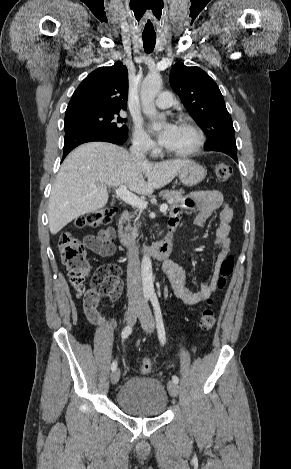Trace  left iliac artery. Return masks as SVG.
I'll list each match as a JSON object with an SVG mask.
<instances>
[{
    "label": "left iliac artery",
    "instance_id": "obj_1",
    "mask_svg": "<svg viewBox=\"0 0 291 469\" xmlns=\"http://www.w3.org/2000/svg\"><path fill=\"white\" fill-rule=\"evenodd\" d=\"M150 300H151V303H152V306H153V309H154L156 327H157V332H158V338H159L161 344H164L165 340H166L165 328H164V323H163L160 304H159L158 298H157L155 293L150 294ZM172 380L176 384H178V382H179V378L176 375H174L172 377Z\"/></svg>",
    "mask_w": 291,
    "mask_h": 469
}]
</instances>
